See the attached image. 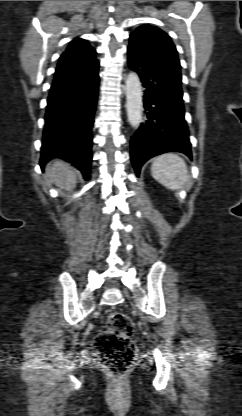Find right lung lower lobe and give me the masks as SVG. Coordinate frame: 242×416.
Instances as JSON below:
<instances>
[{
	"label": "right lung lower lobe",
	"mask_w": 242,
	"mask_h": 416,
	"mask_svg": "<svg viewBox=\"0 0 242 416\" xmlns=\"http://www.w3.org/2000/svg\"><path fill=\"white\" fill-rule=\"evenodd\" d=\"M98 68L85 77L53 82L47 99L40 166L58 157L71 162L90 179Z\"/></svg>",
	"instance_id": "right-lung-lower-lobe-1"
}]
</instances>
